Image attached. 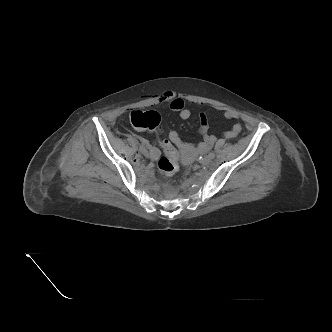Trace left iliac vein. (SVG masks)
Here are the masks:
<instances>
[{
  "instance_id": "obj_1",
  "label": "left iliac vein",
  "mask_w": 332,
  "mask_h": 332,
  "mask_svg": "<svg viewBox=\"0 0 332 332\" xmlns=\"http://www.w3.org/2000/svg\"><path fill=\"white\" fill-rule=\"evenodd\" d=\"M212 158L210 156H204L202 159L203 164H209L211 162Z\"/></svg>"
}]
</instances>
